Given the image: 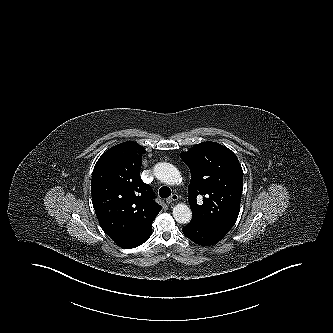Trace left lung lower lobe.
I'll return each mask as SVG.
<instances>
[{"label":"left lung lower lobe","mask_w":333,"mask_h":333,"mask_svg":"<svg viewBox=\"0 0 333 333\" xmlns=\"http://www.w3.org/2000/svg\"><path fill=\"white\" fill-rule=\"evenodd\" d=\"M184 235L199 245H213L218 243L227 233L192 219L191 222L182 229Z\"/></svg>","instance_id":"left-lung-lower-lobe-1"}]
</instances>
